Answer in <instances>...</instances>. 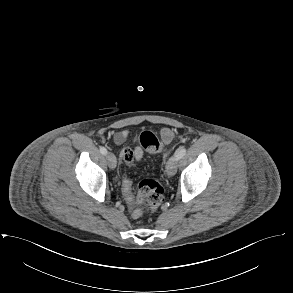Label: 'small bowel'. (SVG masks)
Returning a JSON list of instances; mask_svg holds the SVG:
<instances>
[{
  "mask_svg": "<svg viewBox=\"0 0 293 293\" xmlns=\"http://www.w3.org/2000/svg\"><path fill=\"white\" fill-rule=\"evenodd\" d=\"M129 137L127 130H121L113 135V142L116 145L123 144ZM162 138L166 143H170L174 139V134L170 131H163ZM144 156V151L140 146H135L133 149L125 148L121 153V157L126 164H132L133 162H139Z\"/></svg>",
  "mask_w": 293,
  "mask_h": 293,
  "instance_id": "small-bowel-1",
  "label": "small bowel"
}]
</instances>
